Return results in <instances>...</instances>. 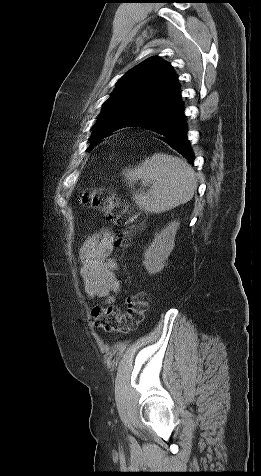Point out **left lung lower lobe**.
<instances>
[{
    "label": "left lung lower lobe",
    "mask_w": 261,
    "mask_h": 476,
    "mask_svg": "<svg viewBox=\"0 0 261 476\" xmlns=\"http://www.w3.org/2000/svg\"><path fill=\"white\" fill-rule=\"evenodd\" d=\"M128 126L144 127L156 132L160 135L159 139L164 141L170 148L180 153L187 160H194V154L187 138V126L182 102H179L172 109L158 116L147 117L141 121L132 122L124 127ZM120 128L115 127L114 129H109L104 137H107L111 132Z\"/></svg>",
    "instance_id": "1"
}]
</instances>
